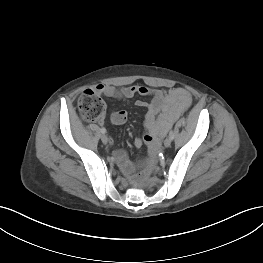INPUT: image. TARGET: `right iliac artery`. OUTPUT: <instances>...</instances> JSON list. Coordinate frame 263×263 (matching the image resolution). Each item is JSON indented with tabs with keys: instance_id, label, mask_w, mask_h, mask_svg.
Returning a JSON list of instances; mask_svg holds the SVG:
<instances>
[{
	"instance_id": "1",
	"label": "right iliac artery",
	"mask_w": 263,
	"mask_h": 263,
	"mask_svg": "<svg viewBox=\"0 0 263 263\" xmlns=\"http://www.w3.org/2000/svg\"><path fill=\"white\" fill-rule=\"evenodd\" d=\"M100 131H101L102 134H105V133H106V129H105V128H101Z\"/></svg>"
}]
</instances>
